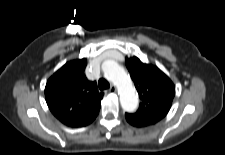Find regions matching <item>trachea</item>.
<instances>
[{
  "label": "trachea",
  "mask_w": 225,
  "mask_h": 155,
  "mask_svg": "<svg viewBox=\"0 0 225 155\" xmlns=\"http://www.w3.org/2000/svg\"><path fill=\"white\" fill-rule=\"evenodd\" d=\"M98 87H99L100 90H105V89H108L110 87V84L108 83L107 80L101 78L98 81Z\"/></svg>",
  "instance_id": "trachea-1"
}]
</instances>
